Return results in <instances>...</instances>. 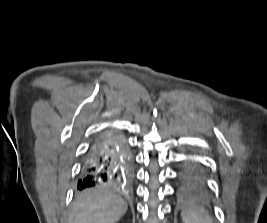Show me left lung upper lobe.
Returning <instances> with one entry per match:
<instances>
[{
  "mask_svg": "<svg viewBox=\"0 0 267 223\" xmlns=\"http://www.w3.org/2000/svg\"><path fill=\"white\" fill-rule=\"evenodd\" d=\"M184 171H197V170L192 169V168H188V169H185Z\"/></svg>",
  "mask_w": 267,
  "mask_h": 223,
  "instance_id": "left-lung-upper-lobe-1",
  "label": "left lung upper lobe"
}]
</instances>
